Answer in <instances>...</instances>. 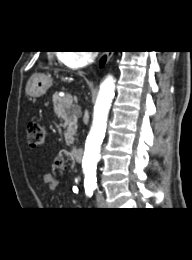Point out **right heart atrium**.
Here are the masks:
<instances>
[{
	"instance_id": "d8ad5b80",
	"label": "right heart atrium",
	"mask_w": 192,
	"mask_h": 260,
	"mask_svg": "<svg viewBox=\"0 0 192 260\" xmlns=\"http://www.w3.org/2000/svg\"><path fill=\"white\" fill-rule=\"evenodd\" d=\"M59 58L64 66L78 69L86 66L92 60V54L88 51H64Z\"/></svg>"
}]
</instances>
